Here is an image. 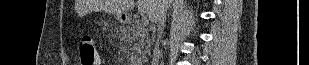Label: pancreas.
Wrapping results in <instances>:
<instances>
[{"label":"pancreas","mask_w":309,"mask_h":65,"mask_svg":"<svg viewBox=\"0 0 309 65\" xmlns=\"http://www.w3.org/2000/svg\"><path fill=\"white\" fill-rule=\"evenodd\" d=\"M128 37L131 43L129 55L136 61L137 59H142L145 54L149 53L152 40L149 37L148 30L139 20H135L129 26Z\"/></svg>","instance_id":"pancreas-1"}]
</instances>
